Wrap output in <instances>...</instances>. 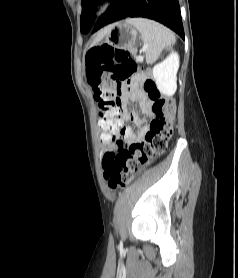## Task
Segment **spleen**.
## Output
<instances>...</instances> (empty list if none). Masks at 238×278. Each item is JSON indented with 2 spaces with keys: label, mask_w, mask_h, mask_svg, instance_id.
<instances>
[{
  "label": "spleen",
  "mask_w": 238,
  "mask_h": 278,
  "mask_svg": "<svg viewBox=\"0 0 238 278\" xmlns=\"http://www.w3.org/2000/svg\"><path fill=\"white\" fill-rule=\"evenodd\" d=\"M126 21L140 32L148 64H153L163 49L171 47L175 43L174 34L155 21L144 18H130Z\"/></svg>",
  "instance_id": "obj_1"
}]
</instances>
